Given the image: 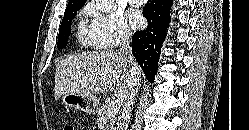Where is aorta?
<instances>
[{"label": "aorta", "instance_id": "aorta-1", "mask_svg": "<svg viewBox=\"0 0 249 130\" xmlns=\"http://www.w3.org/2000/svg\"><path fill=\"white\" fill-rule=\"evenodd\" d=\"M96 4L102 12H110L114 5V0H96Z\"/></svg>", "mask_w": 249, "mask_h": 130}]
</instances>
